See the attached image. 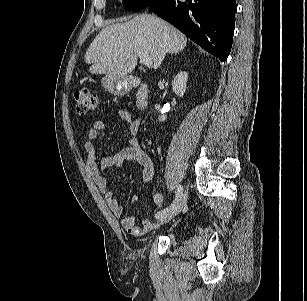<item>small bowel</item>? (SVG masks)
<instances>
[{"label": "small bowel", "instance_id": "obj_1", "mask_svg": "<svg viewBox=\"0 0 307 301\" xmlns=\"http://www.w3.org/2000/svg\"><path fill=\"white\" fill-rule=\"evenodd\" d=\"M117 115L127 124L131 134L128 147L114 155L102 158L100 164H98L94 141L97 140L99 134L106 129V122L104 120H96L93 126L88 130L87 140L84 143V150L87 155L86 168L95 185L104 195L111 212L120 220L123 229L130 235L139 237L155 228L156 223L145 218L141 225H137L135 214L125 216L123 206L119 203L114 193L108 189L107 180L101 175V170L118 168L121 167L126 160H134L142 167V180L147 182L153 176L154 164L151 157L140 146L137 138L141 126L140 119L135 117L133 113L127 109H118ZM138 198L139 196L137 194L133 195L131 203H136ZM151 200L157 206H162L165 203V197L161 194L152 195Z\"/></svg>", "mask_w": 307, "mask_h": 301}]
</instances>
